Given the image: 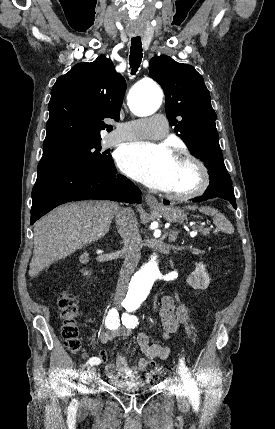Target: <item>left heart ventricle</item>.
<instances>
[{
    "label": "left heart ventricle",
    "mask_w": 275,
    "mask_h": 429,
    "mask_svg": "<svg viewBox=\"0 0 275 429\" xmlns=\"http://www.w3.org/2000/svg\"><path fill=\"white\" fill-rule=\"evenodd\" d=\"M199 181L196 167L187 161L176 159L168 192L184 193L194 189Z\"/></svg>",
    "instance_id": "1"
}]
</instances>
